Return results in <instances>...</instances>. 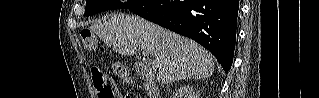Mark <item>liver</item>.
Instances as JSON below:
<instances>
[{
    "mask_svg": "<svg viewBox=\"0 0 319 98\" xmlns=\"http://www.w3.org/2000/svg\"><path fill=\"white\" fill-rule=\"evenodd\" d=\"M90 28L119 54L132 56L138 50L148 51L154 57L153 77L161 84L205 80L213 74V57L202 46L141 17L113 14Z\"/></svg>",
    "mask_w": 319,
    "mask_h": 98,
    "instance_id": "liver-1",
    "label": "liver"
}]
</instances>
